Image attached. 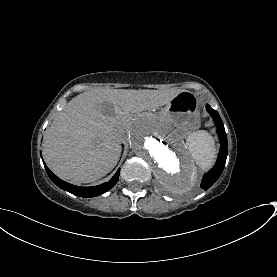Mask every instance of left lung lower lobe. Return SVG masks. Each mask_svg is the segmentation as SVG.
<instances>
[{"label":"left lung lower lobe","mask_w":277,"mask_h":277,"mask_svg":"<svg viewBox=\"0 0 277 277\" xmlns=\"http://www.w3.org/2000/svg\"><path fill=\"white\" fill-rule=\"evenodd\" d=\"M206 109L214 119L217 126L219 139L221 142V149L215 166L208 173H206L202 179L201 187L205 190L211 187L221 175L228 154L227 136L225 133L223 122L216 110L212 109L209 105H206Z\"/></svg>","instance_id":"1"}]
</instances>
